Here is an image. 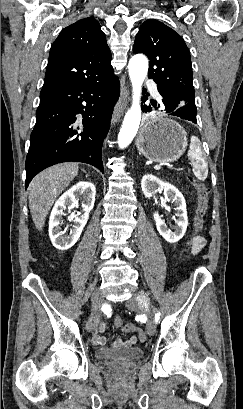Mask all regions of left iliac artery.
I'll return each mask as SVG.
<instances>
[{"instance_id":"1","label":"left iliac artery","mask_w":243,"mask_h":409,"mask_svg":"<svg viewBox=\"0 0 243 409\" xmlns=\"http://www.w3.org/2000/svg\"><path fill=\"white\" fill-rule=\"evenodd\" d=\"M159 318H160V313L157 312V313L155 314V321H156V323L159 321Z\"/></svg>"}]
</instances>
